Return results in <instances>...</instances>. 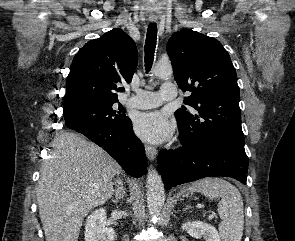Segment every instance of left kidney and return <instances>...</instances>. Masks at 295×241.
Instances as JSON below:
<instances>
[{
	"instance_id": "1",
	"label": "left kidney",
	"mask_w": 295,
	"mask_h": 241,
	"mask_svg": "<svg viewBox=\"0 0 295 241\" xmlns=\"http://www.w3.org/2000/svg\"><path fill=\"white\" fill-rule=\"evenodd\" d=\"M182 229L186 230L194 238H201L206 241H221L216 228L202 221H189L182 225Z\"/></svg>"
}]
</instances>
